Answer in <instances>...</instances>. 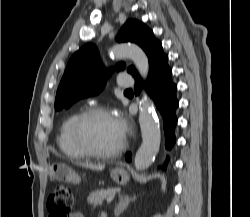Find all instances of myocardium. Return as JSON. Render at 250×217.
<instances>
[{
  "label": "myocardium",
  "instance_id": "f54148a6",
  "mask_svg": "<svg viewBox=\"0 0 250 217\" xmlns=\"http://www.w3.org/2000/svg\"><path fill=\"white\" fill-rule=\"evenodd\" d=\"M100 114H111V111L106 106H91L83 110L76 118L73 124V138L77 146L87 155L96 158H110L119 155L126 146L125 139L116 148L109 151L96 149L90 144L85 134V124L93 116Z\"/></svg>",
  "mask_w": 250,
  "mask_h": 217
}]
</instances>
